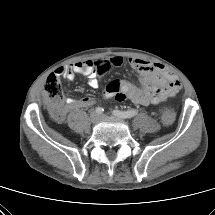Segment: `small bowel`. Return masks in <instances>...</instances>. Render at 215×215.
Wrapping results in <instances>:
<instances>
[{
    "label": "small bowel",
    "instance_id": "obj_1",
    "mask_svg": "<svg viewBox=\"0 0 215 215\" xmlns=\"http://www.w3.org/2000/svg\"><path fill=\"white\" fill-rule=\"evenodd\" d=\"M123 63L124 59L121 56H113L106 60H85L60 67L55 74L63 76L67 80H73L77 74H82L88 77L90 87L97 88L101 76L108 69L119 67ZM128 63L140 73V84L134 85L123 80H113L107 84L103 94L104 98H115L119 101L128 99L143 106L156 105L181 88L177 77L161 64L138 58H130ZM94 103L95 99L91 97L78 100L67 98L66 106L57 118L62 119L66 112L73 108H85Z\"/></svg>",
    "mask_w": 215,
    "mask_h": 215
}]
</instances>
